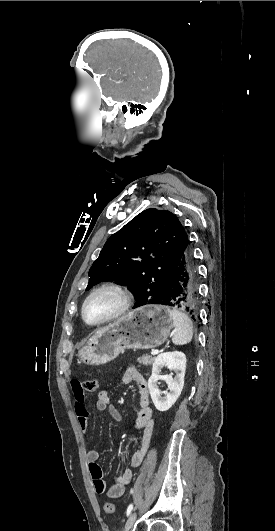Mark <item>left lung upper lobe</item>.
<instances>
[{"instance_id": "1", "label": "left lung upper lobe", "mask_w": 275, "mask_h": 531, "mask_svg": "<svg viewBox=\"0 0 275 531\" xmlns=\"http://www.w3.org/2000/svg\"><path fill=\"white\" fill-rule=\"evenodd\" d=\"M188 237L167 210H144L113 234L89 270L87 290L101 281L128 285L134 308L158 304L166 296Z\"/></svg>"}]
</instances>
